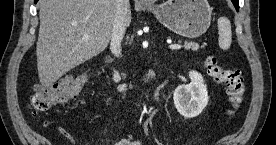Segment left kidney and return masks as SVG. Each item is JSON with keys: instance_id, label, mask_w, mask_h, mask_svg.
I'll list each match as a JSON object with an SVG mask.
<instances>
[{"instance_id": "1", "label": "left kidney", "mask_w": 276, "mask_h": 145, "mask_svg": "<svg viewBox=\"0 0 276 145\" xmlns=\"http://www.w3.org/2000/svg\"><path fill=\"white\" fill-rule=\"evenodd\" d=\"M191 82L176 88L173 99L177 111L185 118H194L201 114L208 104L207 86L202 75L196 71L189 72Z\"/></svg>"}]
</instances>
